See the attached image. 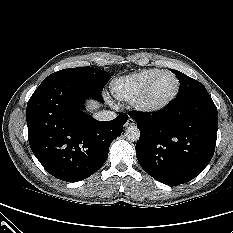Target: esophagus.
<instances>
[{
  "mask_svg": "<svg viewBox=\"0 0 233 233\" xmlns=\"http://www.w3.org/2000/svg\"><path fill=\"white\" fill-rule=\"evenodd\" d=\"M133 125H135V121L129 117L125 126L128 127V126H133Z\"/></svg>",
  "mask_w": 233,
  "mask_h": 233,
  "instance_id": "34e87169",
  "label": "esophagus"
}]
</instances>
